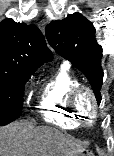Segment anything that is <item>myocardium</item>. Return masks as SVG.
<instances>
[{
	"mask_svg": "<svg viewBox=\"0 0 114 156\" xmlns=\"http://www.w3.org/2000/svg\"><path fill=\"white\" fill-rule=\"evenodd\" d=\"M83 93L87 94L92 101V113L89 119L85 117L84 112L79 108L78 105V99ZM68 104L78 121L83 125L90 126L96 121L99 103L96 94L91 87L83 84L76 86L69 95Z\"/></svg>",
	"mask_w": 114,
	"mask_h": 156,
	"instance_id": "f54148a6",
	"label": "myocardium"
}]
</instances>
